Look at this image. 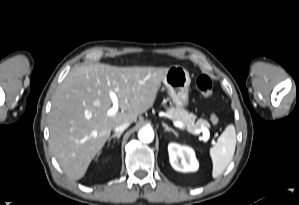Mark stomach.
<instances>
[{
	"label": "stomach",
	"mask_w": 299,
	"mask_h": 205,
	"mask_svg": "<svg viewBox=\"0 0 299 205\" xmlns=\"http://www.w3.org/2000/svg\"><path fill=\"white\" fill-rule=\"evenodd\" d=\"M163 83L178 108L183 109L188 106L191 78L184 67L178 65L169 67L163 78Z\"/></svg>",
	"instance_id": "0dacf381"
}]
</instances>
